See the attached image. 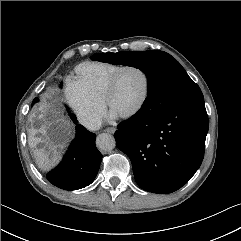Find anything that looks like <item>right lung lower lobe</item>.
Segmentation results:
<instances>
[{"mask_svg": "<svg viewBox=\"0 0 241 241\" xmlns=\"http://www.w3.org/2000/svg\"><path fill=\"white\" fill-rule=\"evenodd\" d=\"M77 123L76 117H71ZM96 135L76 125V136L62 162L47 174L50 183L64 190H77L90 185L99 170L102 154L95 145Z\"/></svg>", "mask_w": 241, "mask_h": 241, "instance_id": "right-lung-lower-lobe-1", "label": "right lung lower lobe"}]
</instances>
